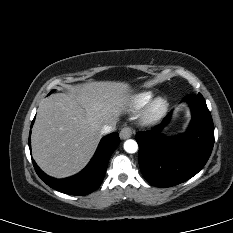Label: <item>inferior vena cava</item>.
I'll use <instances>...</instances> for the list:
<instances>
[{"instance_id": "1", "label": "inferior vena cava", "mask_w": 233, "mask_h": 233, "mask_svg": "<svg viewBox=\"0 0 233 233\" xmlns=\"http://www.w3.org/2000/svg\"><path fill=\"white\" fill-rule=\"evenodd\" d=\"M116 123H117V120H113V121H111L110 124H105L101 129V133L102 134H109V133L113 132L114 130H116Z\"/></svg>"}]
</instances>
